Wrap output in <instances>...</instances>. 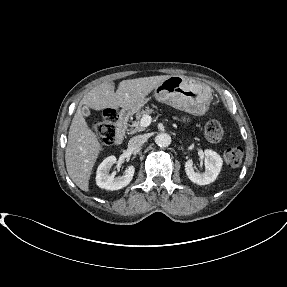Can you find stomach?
Listing matches in <instances>:
<instances>
[{
  "label": "stomach",
  "instance_id": "stomach-1",
  "mask_svg": "<svg viewBox=\"0 0 287 287\" xmlns=\"http://www.w3.org/2000/svg\"><path fill=\"white\" fill-rule=\"evenodd\" d=\"M154 97L159 102L183 110L193 115H203L211 102V89L205 83L180 75H172L154 89ZM133 109L122 108L123 112Z\"/></svg>",
  "mask_w": 287,
  "mask_h": 287
}]
</instances>
